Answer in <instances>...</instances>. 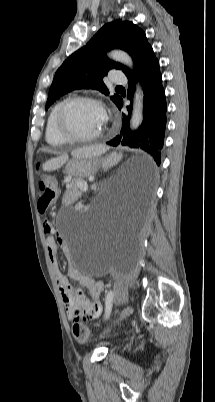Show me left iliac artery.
I'll use <instances>...</instances> for the list:
<instances>
[{"label":"left iliac artery","instance_id":"44dca946","mask_svg":"<svg viewBox=\"0 0 215 402\" xmlns=\"http://www.w3.org/2000/svg\"><path fill=\"white\" fill-rule=\"evenodd\" d=\"M114 292L110 290L105 299V319L110 316L113 304Z\"/></svg>","mask_w":215,"mask_h":402}]
</instances>
